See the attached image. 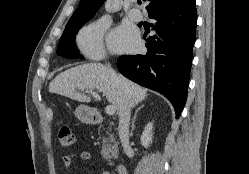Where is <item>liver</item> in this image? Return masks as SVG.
<instances>
[{
    "instance_id": "6515ba94",
    "label": "liver",
    "mask_w": 249,
    "mask_h": 174,
    "mask_svg": "<svg viewBox=\"0 0 249 174\" xmlns=\"http://www.w3.org/2000/svg\"><path fill=\"white\" fill-rule=\"evenodd\" d=\"M112 71L110 67L100 63L78 65L57 75L49 84V92L89 103L91 98L84 91L97 90L103 93L117 111L120 107L121 94L126 97L130 108L147 97L145 88L113 71L116 81Z\"/></svg>"
}]
</instances>
